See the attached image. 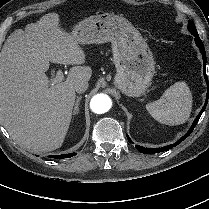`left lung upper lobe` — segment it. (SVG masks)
Listing matches in <instances>:
<instances>
[{
  "label": "left lung upper lobe",
  "instance_id": "left-lung-upper-lobe-1",
  "mask_svg": "<svg viewBox=\"0 0 209 209\" xmlns=\"http://www.w3.org/2000/svg\"><path fill=\"white\" fill-rule=\"evenodd\" d=\"M188 30L193 35L194 33H198L196 27L192 21H189Z\"/></svg>",
  "mask_w": 209,
  "mask_h": 209
}]
</instances>
